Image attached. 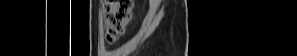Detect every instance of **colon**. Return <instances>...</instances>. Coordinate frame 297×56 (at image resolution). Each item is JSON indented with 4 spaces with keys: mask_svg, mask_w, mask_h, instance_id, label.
I'll use <instances>...</instances> for the list:
<instances>
[{
    "mask_svg": "<svg viewBox=\"0 0 297 56\" xmlns=\"http://www.w3.org/2000/svg\"><path fill=\"white\" fill-rule=\"evenodd\" d=\"M135 2L133 0H110L104 4L103 12L106 25V39L114 43L120 39L133 18Z\"/></svg>",
    "mask_w": 297,
    "mask_h": 56,
    "instance_id": "colon-1",
    "label": "colon"
}]
</instances>
